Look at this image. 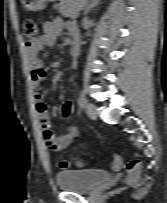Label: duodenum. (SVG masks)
Returning <instances> with one entry per match:
<instances>
[{
	"mask_svg": "<svg viewBox=\"0 0 167 203\" xmlns=\"http://www.w3.org/2000/svg\"><path fill=\"white\" fill-rule=\"evenodd\" d=\"M79 54V43L77 39H74L72 44H71V49H70V57L72 59H75Z\"/></svg>",
	"mask_w": 167,
	"mask_h": 203,
	"instance_id": "410a0bca",
	"label": "duodenum"
}]
</instances>
